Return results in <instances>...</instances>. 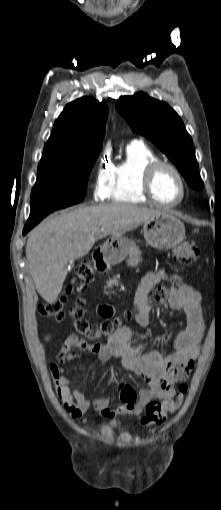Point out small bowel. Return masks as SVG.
Instances as JSON below:
<instances>
[{
    "instance_id": "1",
    "label": "small bowel",
    "mask_w": 221,
    "mask_h": 510,
    "mask_svg": "<svg viewBox=\"0 0 221 510\" xmlns=\"http://www.w3.org/2000/svg\"><path fill=\"white\" fill-rule=\"evenodd\" d=\"M168 279L167 271L158 268L149 272L141 282L135 296L136 321L140 326L147 327L150 323V310L146 305L149 292L157 283ZM168 304L170 309L183 312L187 322L184 330L169 339L168 352L149 349L147 342H136L128 327L119 328L105 342L93 345L75 334L64 340L57 353V364L51 365V371L57 394L72 418L78 419L90 409L107 419L118 415L136 416L152 400L174 396V384L187 378L200 354L204 310L200 292L187 283L172 287ZM84 351L93 354L101 365L119 359L126 370L143 377L147 388L137 394L131 387L127 389L129 386L121 380L117 384L122 400L120 406L111 409L110 397L90 401L82 390L72 389L67 374L70 362L86 358Z\"/></svg>"
}]
</instances>
